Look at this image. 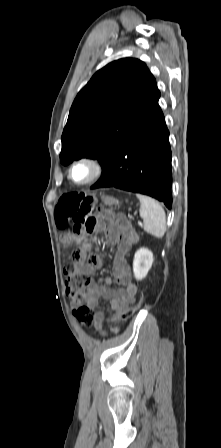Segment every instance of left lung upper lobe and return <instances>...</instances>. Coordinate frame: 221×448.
I'll use <instances>...</instances> for the list:
<instances>
[{"label":"left lung upper lobe","instance_id":"1","mask_svg":"<svg viewBox=\"0 0 221 448\" xmlns=\"http://www.w3.org/2000/svg\"><path fill=\"white\" fill-rule=\"evenodd\" d=\"M159 97L155 78L138 59H119L97 71L70 109L61 163L87 157L105 167Z\"/></svg>","mask_w":221,"mask_h":448}]
</instances>
